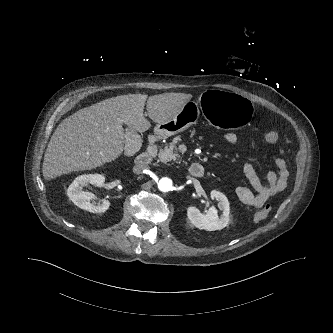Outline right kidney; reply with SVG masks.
Here are the masks:
<instances>
[{
    "label": "right kidney",
    "mask_w": 333,
    "mask_h": 333,
    "mask_svg": "<svg viewBox=\"0 0 333 333\" xmlns=\"http://www.w3.org/2000/svg\"><path fill=\"white\" fill-rule=\"evenodd\" d=\"M105 182V176L101 174H84L75 178V180L68 187L67 195L72 202L81 209L87 210L92 213H103L109 206L108 200H103L101 204L96 202L90 203V199L94 198V194L87 191H82V187L88 183L101 186Z\"/></svg>",
    "instance_id": "obj_1"
}]
</instances>
